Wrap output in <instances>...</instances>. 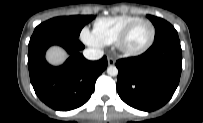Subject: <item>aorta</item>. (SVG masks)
<instances>
[{"label":"aorta","instance_id":"1","mask_svg":"<svg viewBox=\"0 0 203 123\" xmlns=\"http://www.w3.org/2000/svg\"><path fill=\"white\" fill-rule=\"evenodd\" d=\"M107 73H108V75H110V76H117V75H118V69H117L116 66L110 65V66L107 68Z\"/></svg>","mask_w":203,"mask_h":123}]
</instances>
